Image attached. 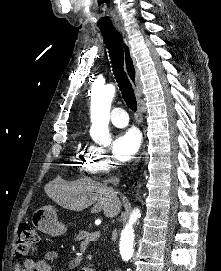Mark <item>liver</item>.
I'll return each instance as SVG.
<instances>
[{
  "instance_id": "obj_1",
  "label": "liver",
  "mask_w": 221,
  "mask_h": 271,
  "mask_svg": "<svg viewBox=\"0 0 221 271\" xmlns=\"http://www.w3.org/2000/svg\"><path fill=\"white\" fill-rule=\"evenodd\" d=\"M45 191L58 205L71 211H82L95 203L93 209H103L106 217H116L122 207L119 197H104L105 183L94 181L90 177H83L76 181H64L61 177H57L45 185Z\"/></svg>"
}]
</instances>
